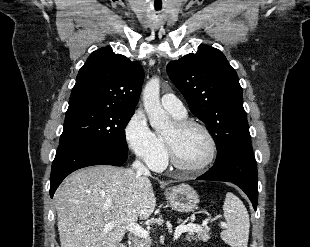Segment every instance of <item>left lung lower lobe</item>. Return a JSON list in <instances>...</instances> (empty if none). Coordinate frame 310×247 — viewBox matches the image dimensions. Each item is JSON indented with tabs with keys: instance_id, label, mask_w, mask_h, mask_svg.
<instances>
[{
	"instance_id": "1",
	"label": "left lung lower lobe",
	"mask_w": 310,
	"mask_h": 247,
	"mask_svg": "<svg viewBox=\"0 0 310 247\" xmlns=\"http://www.w3.org/2000/svg\"><path fill=\"white\" fill-rule=\"evenodd\" d=\"M197 180L234 183L247 194L254 210L257 209L258 178L251 145L241 148L221 161H215L214 166L199 176Z\"/></svg>"
}]
</instances>
